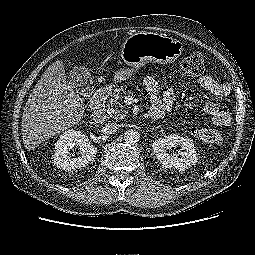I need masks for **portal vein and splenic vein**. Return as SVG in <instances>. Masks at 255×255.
Wrapping results in <instances>:
<instances>
[{"label": "portal vein and splenic vein", "mask_w": 255, "mask_h": 255, "mask_svg": "<svg viewBox=\"0 0 255 255\" xmlns=\"http://www.w3.org/2000/svg\"><path fill=\"white\" fill-rule=\"evenodd\" d=\"M127 100H130V101H132V100H133V98H132V97H128V98H127Z\"/></svg>", "instance_id": "1"}]
</instances>
